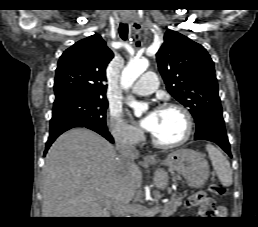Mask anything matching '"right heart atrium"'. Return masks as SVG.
Instances as JSON below:
<instances>
[{
	"label": "right heart atrium",
	"mask_w": 258,
	"mask_h": 227,
	"mask_svg": "<svg viewBox=\"0 0 258 227\" xmlns=\"http://www.w3.org/2000/svg\"><path fill=\"white\" fill-rule=\"evenodd\" d=\"M108 125L114 140L118 143L136 145L142 139L141 131L126 120L118 108L110 109Z\"/></svg>",
	"instance_id": "1"
}]
</instances>
